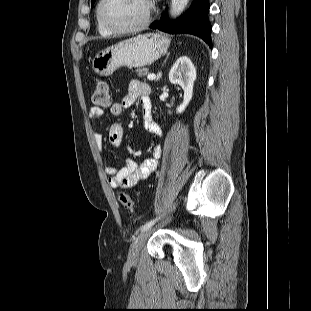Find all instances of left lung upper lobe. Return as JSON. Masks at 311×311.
<instances>
[{"instance_id": "left-lung-upper-lobe-1", "label": "left lung upper lobe", "mask_w": 311, "mask_h": 311, "mask_svg": "<svg viewBox=\"0 0 311 311\" xmlns=\"http://www.w3.org/2000/svg\"><path fill=\"white\" fill-rule=\"evenodd\" d=\"M96 0H92V5L95 3Z\"/></svg>"}]
</instances>
